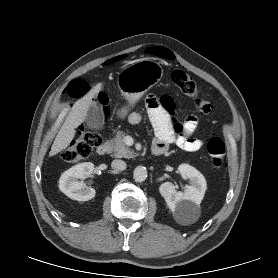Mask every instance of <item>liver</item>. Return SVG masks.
Wrapping results in <instances>:
<instances>
[{"label":"liver","instance_id":"1","mask_svg":"<svg viewBox=\"0 0 278 278\" xmlns=\"http://www.w3.org/2000/svg\"><path fill=\"white\" fill-rule=\"evenodd\" d=\"M101 89L102 83H99L82 99L75 102L53 142L49 156L56 155L70 145L76 134L75 129L84 122L92 99L97 97Z\"/></svg>","mask_w":278,"mask_h":278}]
</instances>
